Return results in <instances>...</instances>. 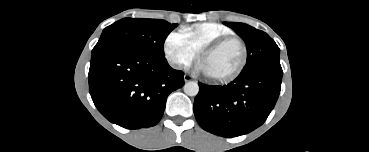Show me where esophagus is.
Wrapping results in <instances>:
<instances>
[{"label": "esophagus", "mask_w": 369, "mask_h": 152, "mask_svg": "<svg viewBox=\"0 0 369 152\" xmlns=\"http://www.w3.org/2000/svg\"><path fill=\"white\" fill-rule=\"evenodd\" d=\"M192 80H193V78L190 75H188V74L184 75V81L185 82H189V81H192Z\"/></svg>", "instance_id": "34e87169"}]
</instances>
